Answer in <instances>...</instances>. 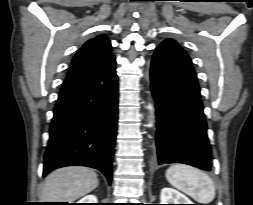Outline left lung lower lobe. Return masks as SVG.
I'll list each match as a JSON object with an SVG mask.
<instances>
[{
  "instance_id": "left-lung-lower-lobe-1",
  "label": "left lung lower lobe",
  "mask_w": 253,
  "mask_h": 205,
  "mask_svg": "<svg viewBox=\"0 0 253 205\" xmlns=\"http://www.w3.org/2000/svg\"><path fill=\"white\" fill-rule=\"evenodd\" d=\"M150 81L157 117V163H183L210 171L211 147L200 88L190 57L176 41L164 40L156 49Z\"/></svg>"
}]
</instances>
